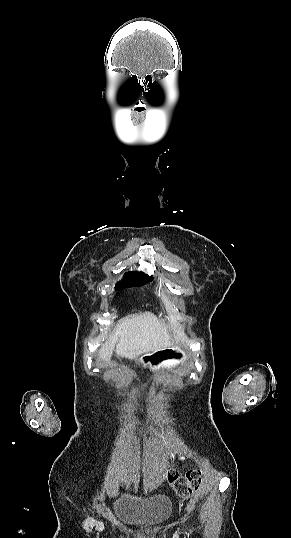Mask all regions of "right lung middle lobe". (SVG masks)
Here are the masks:
<instances>
[{
    "mask_svg": "<svg viewBox=\"0 0 291 538\" xmlns=\"http://www.w3.org/2000/svg\"><path fill=\"white\" fill-rule=\"evenodd\" d=\"M149 282V277L142 272H128L125 273L124 278L116 284V289H121L123 287L131 285H139Z\"/></svg>",
    "mask_w": 291,
    "mask_h": 538,
    "instance_id": "right-lung-middle-lobe-1",
    "label": "right lung middle lobe"
}]
</instances>
